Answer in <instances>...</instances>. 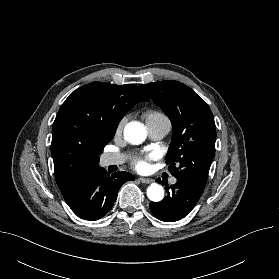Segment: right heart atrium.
<instances>
[{
    "instance_id": "d8ad5b80",
    "label": "right heart atrium",
    "mask_w": 279,
    "mask_h": 279,
    "mask_svg": "<svg viewBox=\"0 0 279 279\" xmlns=\"http://www.w3.org/2000/svg\"><path fill=\"white\" fill-rule=\"evenodd\" d=\"M125 123H126V118L125 117L121 118L118 121V123L116 125V129H115L116 134H120L123 131Z\"/></svg>"
}]
</instances>
